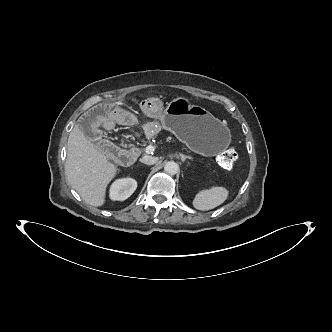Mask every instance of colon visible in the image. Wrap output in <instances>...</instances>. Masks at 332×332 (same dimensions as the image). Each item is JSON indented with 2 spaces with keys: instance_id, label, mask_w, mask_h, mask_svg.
Instances as JSON below:
<instances>
[{
  "instance_id": "1",
  "label": "colon",
  "mask_w": 332,
  "mask_h": 332,
  "mask_svg": "<svg viewBox=\"0 0 332 332\" xmlns=\"http://www.w3.org/2000/svg\"><path fill=\"white\" fill-rule=\"evenodd\" d=\"M98 147L104 153H110L115 150V146L106 139L100 140L98 142ZM237 160H238V155L233 147L226 149L224 152H222L219 155L220 165L227 170H231L234 167Z\"/></svg>"
}]
</instances>
